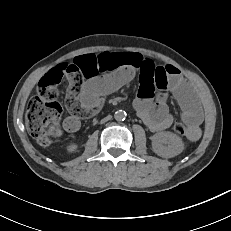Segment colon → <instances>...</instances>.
<instances>
[{"instance_id": "colon-1", "label": "colon", "mask_w": 231, "mask_h": 231, "mask_svg": "<svg viewBox=\"0 0 231 231\" xmlns=\"http://www.w3.org/2000/svg\"><path fill=\"white\" fill-rule=\"evenodd\" d=\"M53 83L42 79L38 85L37 96L27 106L25 120L28 132L42 146L50 144L60 132L61 105L58 102V89ZM178 136H186L189 128L181 122L173 125Z\"/></svg>"}]
</instances>
